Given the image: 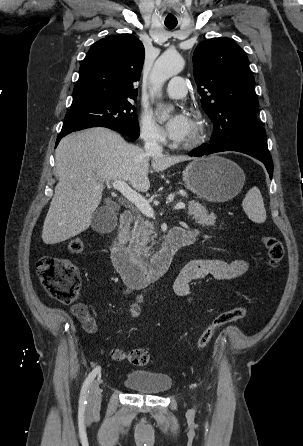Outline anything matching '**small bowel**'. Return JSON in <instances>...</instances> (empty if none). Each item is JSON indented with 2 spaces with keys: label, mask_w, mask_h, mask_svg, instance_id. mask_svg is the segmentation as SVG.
Instances as JSON below:
<instances>
[{
  "label": "small bowel",
  "mask_w": 303,
  "mask_h": 446,
  "mask_svg": "<svg viewBox=\"0 0 303 446\" xmlns=\"http://www.w3.org/2000/svg\"><path fill=\"white\" fill-rule=\"evenodd\" d=\"M194 241L199 233L196 230L188 231ZM247 270V263L244 260L223 261L219 259H194L188 262L179 272L173 283V290L176 295L191 299L192 286L207 277L217 280H231L242 276ZM142 296L138 295L136 301L129 306L128 316L132 319L139 317L141 312ZM70 313L77 318L83 329L90 334L99 330L100 324L97 314L89 303H77L70 307Z\"/></svg>",
  "instance_id": "obj_1"
}]
</instances>
